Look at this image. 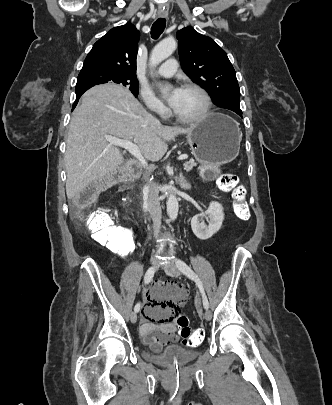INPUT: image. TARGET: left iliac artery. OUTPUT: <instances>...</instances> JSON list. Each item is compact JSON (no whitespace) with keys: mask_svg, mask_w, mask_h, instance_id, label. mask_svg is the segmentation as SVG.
<instances>
[{"mask_svg":"<svg viewBox=\"0 0 332 405\" xmlns=\"http://www.w3.org/2000/svg\"><path fill=\"white\" fill-rule=\"evenodd\" d=\"M176 266L184 275H186L189 279L193 280L196 283L202 295L203 306L205 309H208L209 302L205 294L202 282L200 281L196 273L181 259H176Z\"/></svg>","mask_w":332,"mask_h":405,"instance_id":"left-iliac-artery-1","label":"left iliac artery"}]
</instances>
